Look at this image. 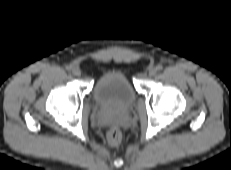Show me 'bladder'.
Listing matches in <instances>:
<instances>
[{"label": "bladder", "instance_id": "31cf9c89", "mask_svg": "<svg viewBox=\"0 0 231 170\" xmlns=\"http://www.w3.org/2000/svg\"><path fill=\"white\" fill-rule=\"evenodd\" d=\"M92 98L100 110L120 113L133 106L136 94L124 73L109 71L97 80Z\"/></svg>", "mask_w": 231, "mask_h": 170}]
</instances>
